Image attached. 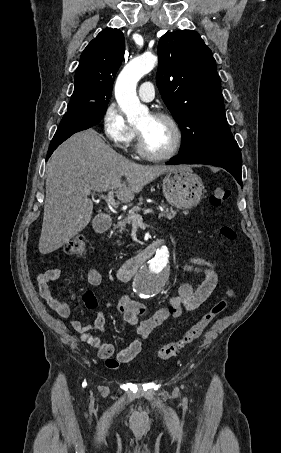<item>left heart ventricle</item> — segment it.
I'll use <instances>...</instances> for the list:
<instances>
[{
	"mask_svg": "<svg viewBox=\"0 0 281 453\" xmlns=\"http://www.w3.org/2000/svg\"><path fill=\"white\" fill-rule=\"evenodd\" d=\"M143 134L147 150L156 154L166 153L174 140L171 127L164 121L155 120L149 114L137 126Z\"/></svg>",
	"mask_w": 281,
	"mask_h": 453,
	"instance_id": "obj_1",
	"label": "left heart ventricle"
}]
</instances>
